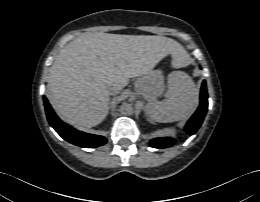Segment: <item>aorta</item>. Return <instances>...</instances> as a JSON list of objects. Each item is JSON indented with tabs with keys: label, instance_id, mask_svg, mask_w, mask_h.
Here are the masks:
<instances>
[{
	"label": "aorta",
	"instance_id": "1",
	"mask_svg": "<svg viewBox=\"0 0 260 202\" xmlns=\"http://www.w3.org/2000/svg\"><path fill=\"white\" fill-rule=\"evenodd\" d=\"M120 111L124 115H130L133 113V105L130 103H123L120 107Z\"/></svg>",
	"mask_w": 260,
	"mask_h": 202
}]
</instances>
